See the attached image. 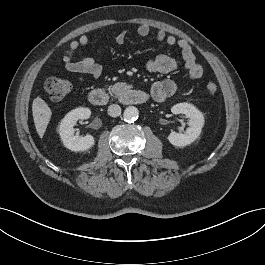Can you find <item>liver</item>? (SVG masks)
<instances>
[{"label": "liver", "mask_w": 265, "mask_h": 265, "mask_svg": "<svg viewBox=\"0 0 265 265\" xmlns=\"http://www.w3.org/2000/svg\"><path fill=\"white\" fill-rule=\"evenodd\" d=\"M32 113L36 131L42 138L49 124L52 111L42 98L37 97L32 103Z\"/></svg>", "instance_id": "1"}]
</instances>
